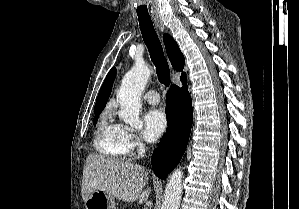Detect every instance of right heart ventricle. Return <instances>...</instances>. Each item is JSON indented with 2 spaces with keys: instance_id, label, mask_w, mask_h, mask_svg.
Here are the masks:
<instances>
[{
  "instance_id": "obj_1",
  "label": "right heart ventricle",
  "mask_w": 299,
  "mask_h": 209,
  "mask_svg": "<svg viewBox=\"0 0 299 209\" xmlns=\"http://www.w3.org/2000/svg\"><path fill=\"white\" fill-rule=\"evenodd\" d=\"M94 146L102 154L122 158L128 154L123 142L122 126L111 121L110 117L103 118L97 128Z\"/></svg>"
}]
</instances>
